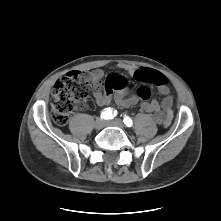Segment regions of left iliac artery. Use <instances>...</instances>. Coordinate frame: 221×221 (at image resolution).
I'll return each instance as SVG.
<instances>
[{
  "mask_svg": "<svg viewBox=\"0 0 221 221\" xmlns=\"http://www.w3.org/2000/svg\"><path fill=\"white\" fill-rule=\"evenodd\" d=\"M123 122L126 126L128 127H131L132 126V120L128 117V116H125L124 119H123Z\"/></svg>",
  "mask_w": 221,
  "mask_h": 221,
  "instance_id": "44dca946",
  "label": "left iliac artery"
}]
</instances>
